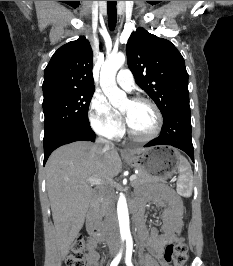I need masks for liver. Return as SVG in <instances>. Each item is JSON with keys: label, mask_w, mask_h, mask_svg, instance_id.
I'll list each match as a JSON object with an SVG mask.
<instances>
[{"label": "liver", "mask_w": 233, "mask_h": 266, "mask_svg": "<svg viewBox=\"0 0 233 266\" xmlns=\"http://www.w3.org/2000/svg\"><path fill=\"white\" fill-rule=\"evenodd\" d=\"M121 168L119 149L114 146L106 149L98 143L77 141L50 155L46 163L47 192L61 260L83 227L93 195L88 179L109 182Z\"/></svg>", "instance_id": "1"}]
</instances>
